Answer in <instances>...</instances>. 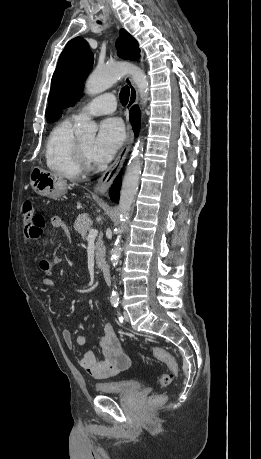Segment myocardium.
<instances>
[{
	"label": "myocardium",
	"instance_id": "1",
	"mask_svg": "<svg viewBox=\"0 0 261 459\" xmlns=\"http://www.w3.org/2000/svg\"><path fill=\"white\" fill-rule=\"evenodd\" d=\"M75 151L81 169H89L91 167V157L86 153L79 139H76Z\"/></svg>",
	"mask_w": 261,
	"mask_h": 459
}]
</instances>
